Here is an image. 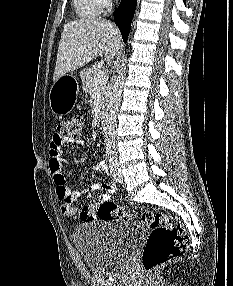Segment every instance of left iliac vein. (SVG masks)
<instances>
[{
    "instance_id": "1",
    "label": "left iliac vein",
    "mask_w": 233,
    "mask_h": 286,
    "mask_svg": "<svg viewBox=\"0 0 233 286\" xmlns=\"http://www.w3.org/2000/svg\"><path fill=\"white\" fill-rule=\"evenodd\" d=\"M110 171L116 182L121 183V184L124 182V177L121 172V169L119 168L117 156L115 154L111 158Z\"/></svg>"
}]
</instances>
